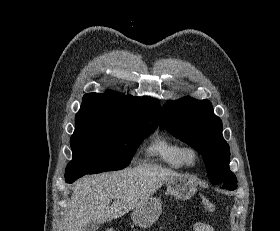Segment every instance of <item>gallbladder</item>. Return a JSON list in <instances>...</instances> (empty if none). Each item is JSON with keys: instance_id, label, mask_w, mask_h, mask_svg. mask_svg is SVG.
<instances>
[{"instance_id": "obj_1", "label": "gallbladder", "mask_w": 280, "mask_h": 231, "mask_svg": "<svg viewBox=\"0 0 280 231\" xmlns=\"http://www.w3.org/2000/svg\"><path fill=\"white\" fill-rule=\"evenodd\" d=\"M99 225L98 221H88L87 225H84L83 231H96Z\"/></svg>"}]
</instances>
